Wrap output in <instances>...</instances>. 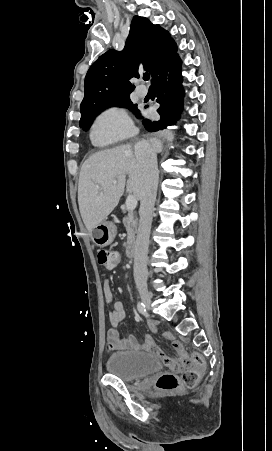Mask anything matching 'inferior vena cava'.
Returning <instances> with one entry per match:
<instances>
[{
  "label": "inferior vena cava",
  "mask_w": 272,
  "mask_h": 451,
  "mask_svg": "<svg viewBox=\"0 0 272 451\" xmlns=\"http://www.w3.org/2000/svg\"><path fill=\"white\" fill-rule=\"evenodd\" d=\"M135 156L143 170L144 184L140 200V220L134 247L133 275L137 287L146 285L147 253L149 235L152 224V214L158 188V168L155 150L148 142H138L135 146Z\"/></svg>",
  "instance_id": "obj_1"
}]
</instances>
